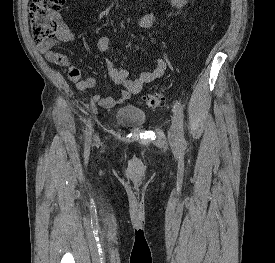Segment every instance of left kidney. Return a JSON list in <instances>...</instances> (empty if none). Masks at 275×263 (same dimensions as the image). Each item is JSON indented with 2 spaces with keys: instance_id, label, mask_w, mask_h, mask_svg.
Here are the masks:
<instances>
[{
  "instance_id": "5707ae66",
  "label": "left kidney",
  "mask_w": 275,
  "mask_h": 263,
  "mask_svg": "<svg viewBox=\"0 0 275 263\" xmlns=\"http://www.w3.org/2000/svg\"><path fill=\"white\" fill-rule=\"evenodd\" d=\"M187 3V0H171V4L177 8L183 7Z\"/></svg>"
}]
</instances>
